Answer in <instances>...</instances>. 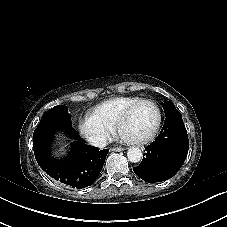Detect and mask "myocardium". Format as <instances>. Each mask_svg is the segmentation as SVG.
Returning <instances> with one entry per match:
<instances>
[{
    "instance_id": "1",
    "label": "myocardium",
    "mask_w": 227,
    "mask_h": 227,
    "mask_svg": "<svg viewBox=\"0 0 227 227\" xmlns=\"http://www.w3.org/2000/svg\"><path fill=\"white\" fill-rule=\"evenodd\" d=\"M144 105L152 106L155 109V112H156V122H155V125H154L153 130L151 131V133L149 135H147L145 137H134L135 140L138 143H144V142H147V141L151 140L152 138H154V136L156 135V133L159 130L160 123H161V112H160V109H159L158 105L155 102L150 101V100H143V101L138 102L137 104H135L134 106H132L123 115V117L121 118V120H120V122L118 124V127H117L118 133L119 134L123 133L124 132V127H125L126 123L128 122V120L130 119V117L133 115V113L138 108H140L141 106H144Z\"/></svg>"
}]
</instances>
